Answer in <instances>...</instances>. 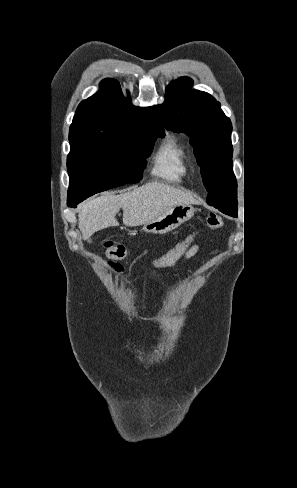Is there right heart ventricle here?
<instances>
[{"mask_svg":"<svg viewBox=\"0 0 297 488\" xmlns=\"http://www.w3.org/2000/svg\"><path fill=\"white\" fill-rule=\"evenodd\" d=\"M188 162L185 146L177 136L170 135L158 145L152 158L151 173L165 181L180 182L188 173Z\"/></svg>","mask_w":297,"mask_h":488,"instance_id":"obj_1","label":"right heart ventricle"}]
</instances>
